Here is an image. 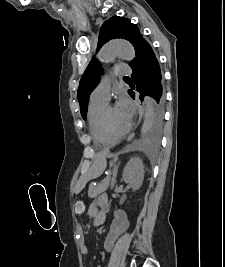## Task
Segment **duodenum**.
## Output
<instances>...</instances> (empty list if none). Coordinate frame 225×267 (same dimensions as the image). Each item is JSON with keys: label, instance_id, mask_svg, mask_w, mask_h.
<instances>
[{"label": "duodenum", "instance_id": "obj_1", "mask_svg": "<svg viewBox=\"0 0 225 267\" xmlns=\"http://www.w3.org/2000/svg\"><path fill=\"white\" fill-rule=\"evenodd\" d=\"M104 221V215H99L96 219H95V224L99 225L102 224Z\"/></svg>", "mask_w": 225, "mask_h": 267}]
</instances>
